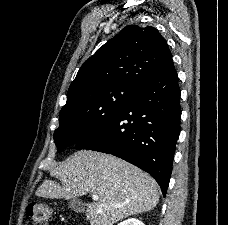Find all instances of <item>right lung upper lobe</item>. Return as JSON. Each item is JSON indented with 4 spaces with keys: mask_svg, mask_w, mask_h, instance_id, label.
<instances>
[{
    "mask_svg": "<svg viewBox=\"0 0 228 225\" xmlns=\"http://www.w3.org/2000/svg\"><path fill=\"white\" fill-rule=\"evenodd\" d=\"M171 60L168 44L157 29L126 26L81 66L69 87L66 104L111 84L138 88Z\"/></svg>",
    "mask_w": 228,
    "mask_h": 225,
    "instance_id": "cb5924a9",
    "label": "right lung upper lobe"
}]
</instances>
